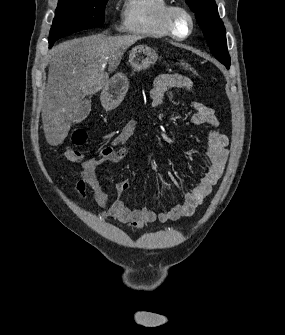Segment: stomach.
Returning <instances> with one entry per match:
<instances>
[{
  "mask_svg": "<svg viewBox=\"0 0 285 335\" xmlns=\"http://www.w3.org/2000/svg\"><path fill=\"white\" fill-rule=\"evenodd\" d=\"M158 56L152 48L148 46H136L129 52V62L134 70H148L157 62ZM128 90V80L123 74H116L111 80H108L102 92V100L106 106L113 108L121 104Z\"/></svg>",
  "mask_w": 285,
  "mask_h": 335,
  "instance_id": "1",
  "label": "stomach"
}]
</instances>
